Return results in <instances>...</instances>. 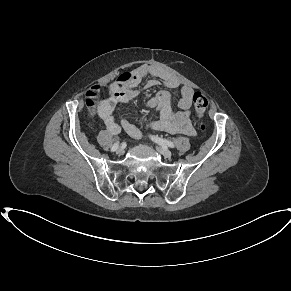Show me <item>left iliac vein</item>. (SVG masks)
I'll return each instance as SVG.
<instances>
[{
    "label": "left iliac vein",
    "mask_w": 291,
    "mask_h": 291,
    "mask_svg": "<svg viewBox=\"0 0 291 291\" xmlns=\"http://www.w3.org/2000/svg\"><path fill=\"white\" fill-rule=\"evenodd\" d=\"M156 149L160 154H162L166 158H170L172 156L171 151H169L167 148L163 146H157Z\"/></svg>",
    "instance_id": "obj_1"
}]
</instances>
